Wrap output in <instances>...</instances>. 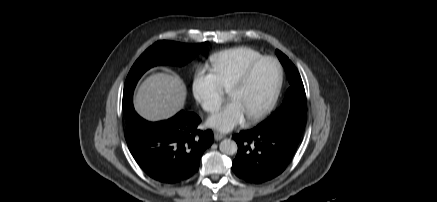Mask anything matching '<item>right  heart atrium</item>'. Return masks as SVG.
Segmentation results:
<instances>
[{"label": "right heart atrium", "instance_id": "d8ad5b80", "mask_svg": "<svg viewBox=\"0 0 437 202\" xmlns=\"http://www.w3.org/2000/svg\"><path fill=\"white\" fill-rule=\"evenodd\" d=\"M191 90L197 104L209 113L216 111L220 107L226 92L216 75L203 66L196 68Z\"/></svg>", "mask_w": 437, "mask_h": 202}]
</instances>
